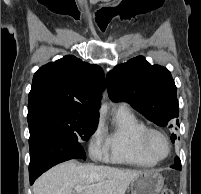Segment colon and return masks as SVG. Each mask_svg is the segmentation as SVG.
Returning a JSON list of instances; mask_svg holds the SVG:
<instances>
[{"mask_svg":"<svg viewBox=\"0 0 201 194\" xmlns=\"http://www.w3.org/2000/svg\"><path fill=\"white\" fill-rule=\"evenodd\" d=\"M161 194H173V193H172V191H171L170 189L165 188V189L161 192Z\"/></svg>","mask_w":201,"mask_h":194,"instance_id":"5ec220e1","label":"colon"}]
</instances>
